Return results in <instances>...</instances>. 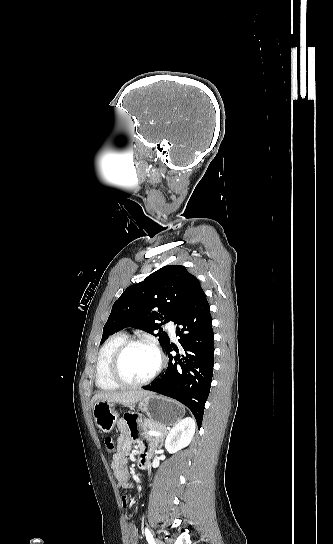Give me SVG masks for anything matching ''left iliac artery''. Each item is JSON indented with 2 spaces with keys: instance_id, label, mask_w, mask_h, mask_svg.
I'll return each mask as SVG.
<instances>
[{
  "instance_id": "1",
  "label": "left iliac artery",
  "mask_w": 333,
  "mask_h": 544,
  "mask_svg": "<svg viewBox=\"0 0 333 544\" xmlns=\"http://www.w3.org/2000/svg\"><path fill=\"white\" fill-rule=\"evenodd\" d=\"M145 536H146L148 544H155V540L153 538V535H152L151 531L148 528H145Z\"/></svg>"
}]
</instances>
